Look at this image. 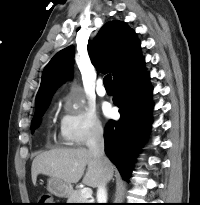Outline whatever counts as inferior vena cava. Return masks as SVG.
Wrapping results in <instances>:
<instances>
[{"mask_svg": "<svg viewBox=\"0 0 200 205\" xmlns=\"http://www.w3.org/2000/svg\"><path fill=\"white\" fill-rule=\"evenodd\" d=\"M87 147L88 151L97 159L102 160L105 158L103 128L101 125L96 124L91 128L90 135L87 140ZM97 200L98 203H106L107 201L105 180L102 181L97 189Z\"/></svg>", "mask_w": 200, "mask_h": 205, "instance_id": "1", "label": "inferior vena cava"}]
</instances>
